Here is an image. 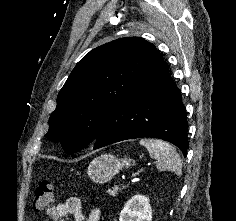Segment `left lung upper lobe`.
Segmentation results:
<instances>
[{"mask_svg":"<svg viewBox=\"0 0 236 221\" xmlns=\"http://www.w3.org/2000/svg\"><path fill=\"white\" fill-rule=\"evenodd\" d=\"M161 58L153 44L139 37L117 39L91 50L60 90L45 137L61 142L70 154L86 147Z\"/></svg>","mask_w":236,"mask_h":221,"instance_id":"1","label":"left lung upper lobe"}]
</instances>
